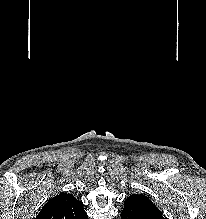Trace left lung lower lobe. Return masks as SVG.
<instances>
[{
	"label": "left lung lower lobe",
	"instance_id": "1",
	"mask_svg": "<svg viewBox=\"0 0 206 219\" xmlns=\"http://www.w3.org/2000/svg\"><path fill=\"white\" fill-rule=\"evenodd\" d=\"M135 200L126 201L124 209L121 212V219H160L156 217L147 216L140 211Z\"/></svg>",
	"mask_w": 206,
	"mask_h": 219
}]
</instances>
